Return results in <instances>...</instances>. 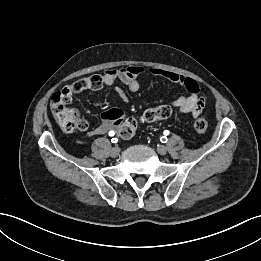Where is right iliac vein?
Masks as SVG:
<instances>
[{
  "instance_id": "right-iliac-vein-1",
  "label": "right iliac vein",
  "mask_w": 261,
  "mask_h": 261,
  "mask_svg": "<svg viewBox=\"0 0 261 261\" xmlns=\"http://www.w3.org/2000/svg\"><path fill=\"white\" fill-rule=\"evenodd\" d=\"M120 153V149L118 147H113L111 150H110V155L112 157H117Z\"/></svg>"
}]
</instances>
